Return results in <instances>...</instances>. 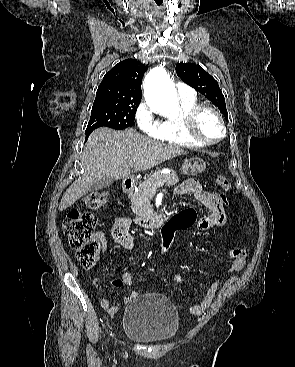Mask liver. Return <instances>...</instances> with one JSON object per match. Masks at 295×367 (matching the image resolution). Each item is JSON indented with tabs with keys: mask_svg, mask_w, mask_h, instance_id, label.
Returning a JSON list of instances; mask_svg holds the SVG:
<instances>
[{
	"mask_svg": "<svg viewBox=\"0 0 295 367\" xmlns=\"http://www.w3.org/2000/svg\"><path fill=\"white\" fill-rule=\"evenodd\" d=\"M186 152L179 146L151 140L129 128L122 132L102 127L94 130L81 155L83 174L63 194L59 210L74 204L102 178L125 179Z\"/></svg>",
	"mask_w": 295,
	"mask_h": 367,
	"instance_id": "liver-1",
	"label": "liver"
}]
</instances>
